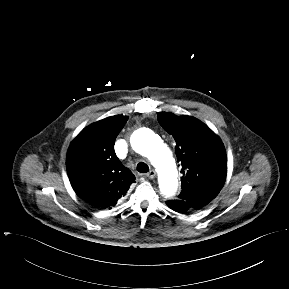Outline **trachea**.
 Returning a JSON list of instances; mask_svg holds the SVG:
<instances>
[{"label":"trachea","instance_id":"trachea-1","mask_svg":"<svg viewBox=\"0 0 289 289\" xmlns=\"http://www.w3.org/2000/svg\"><path fill=\"white\" fill-rule=\"evenodd\" d=\"M137 171L140 173H147L149 171V167L146 163L140 162L137 165Z\"/></svg>","mask_w":289,"mask_h":289}]
</instances>
